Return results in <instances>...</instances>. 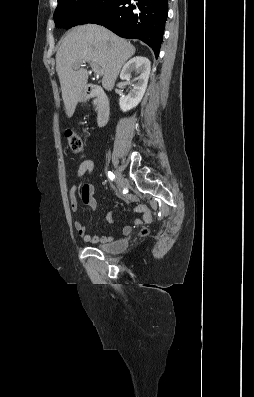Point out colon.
Masks as SVG:
<instances>
[{"label":"colon","mask_w":254,"mask_h":397,"mask_svg":"<svg viewBox=\"0 0 254 397\" xmlns=\"http://www.w3.org/2000/svg\"><path fill=\"white\" fill-rule=\"evenodd\" d=\"M65 135L70 149L75 153L80 152L83 148V141L80 135L72 130H66Z\"/></svg>","instance_id":"1"}]
</instances>
